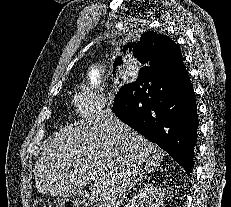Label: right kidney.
<instances>
[{
    "instance_id": "ca27d5eb",
    "label": "right kidney",
    "mask_w": 231,
    "mask_h": 207,
    "mask_svg": "<svg viewBox=\"0 0 231 207\" xmlns=\"http://www.w3.org/2000/svg\"><path fill=\"white\" fill-rule=\"evenodd\" d=\"M163 205L164 192L152 184H147L125 204V207H163Z\"/></svg>"
}]
</instances>
